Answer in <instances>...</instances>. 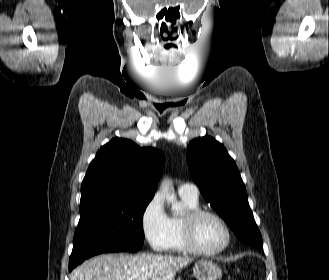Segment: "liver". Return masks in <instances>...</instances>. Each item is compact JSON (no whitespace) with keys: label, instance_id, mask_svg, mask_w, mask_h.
I'll use <instances>...</instances> for the list:
<instances>
[{"label":"liver","instance_id":"6515ba94","mask_svg":"<svg viewBox=\"0 0 329 280\" xmlns=\"http://www.w3.org/2000/svg\"><path fill=\"white\" fill-rule=\"evenodd\" d=\"M191 258L168 255L105 254L74 269L70 280H173Z\"/></svg>","mask_w":329,"mask_h":280}]
</instances>
